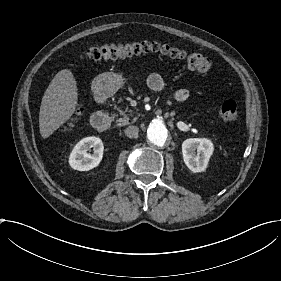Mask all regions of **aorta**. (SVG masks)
Here are the masks:
<instances>
[{
    "label": "aorta",
    "instance_id": "1",
    "mask_svg": "<svg viewBox=\"0 0 281 281\" xmlns=\"http://www.w3.org/2000/svg\"><path fill=\"white\" fill-rule=\"evenodd\" d=\"M147 137L153 145L163 147L169 139V131L162 118H157L150 123L147 130Z\"/></svg>",
    "mask_w": 281,
    "mask_h": 281
}]
</instances>
